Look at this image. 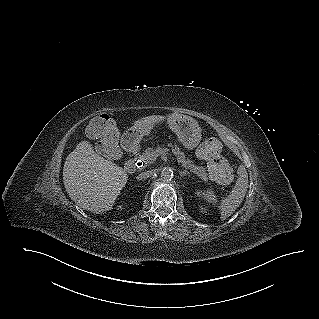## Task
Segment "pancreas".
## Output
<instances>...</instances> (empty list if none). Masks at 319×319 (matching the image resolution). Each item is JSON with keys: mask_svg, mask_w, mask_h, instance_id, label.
I'll list each match as a JSON object with an SVG mask.
<instances>
[{"mask_svg": "<svg viewBox=\"0 0 319 319\" xmlns=\"http://www.w3.org/2000/svg\"><path fill=\"white\" fill-rule=\"evenodd\" d=\"M169 146L172 147V153L177 157V160L181 163L182 167L196 174L204 182L208 181V174L204 167L196 166L190 159H186L185 154L176 145L169 144ZM154 153L155 151L149 147L142 155L138 156V160L143 162L144 167H147L155 161V158L153 157Z\"/></svg>", "mask_w": 319, "mask_h": 319, "instance_id": "1", "label": "pancreas"}]
</instances>
